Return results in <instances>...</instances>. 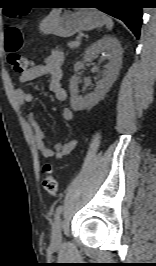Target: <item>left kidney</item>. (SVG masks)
Here are the masks:
<instances>
[{"label": "left kidney", "mask_w": 156, "mask_h": 266, "mask_svg": "<svg viewBox=\"0 0 156 266\" xmlns=\"http://www.w3.org/2000/svg\"><path fill=\"white\" fill-rule=\"evenodd\" d=\"M101 53L105 54L109 62L105 65L102 79L97 82L93 92L85 96L80 95L77 75L75 74L70 80V103L74 111H82L96 105L116 80L122 64V49L118 39L113 36H104L91 44L85 51L83 61L74 65L75 73L84 67L85 62L92 61Z\"/></svg>", "instance_id": "left-kidney-1"}]
</instances>
